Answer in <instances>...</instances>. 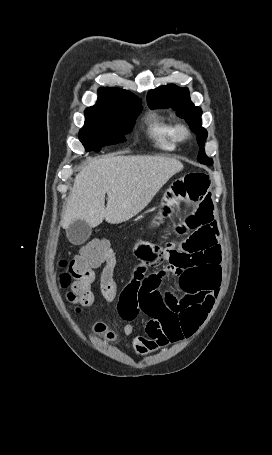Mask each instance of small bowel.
Here are the masks:
<instances>
[{
    "instance_id": "small-bowel-1",
    "label": "small bowel",
    "mask_w": 272,
    "mask_h": 455,
    "mask_svg": "<svg viewBox=\"0 0 272 455\" xmlns=\"http://www.w3.org/2000/svg\"><path fill=\"white\" fill-rule=\"evenodd\" d=\"M210 186L211 180L203 172H189L175 179L166 193L162 212L168 216L176 203H188L190 211L175 227L179 234L189 232L188 237L179 245L144 241L137 245L140 264L116 300L118 313L126 322L125 336L134 332L139 314L149 317L146 335L133 340L134 350L141 356L191 337L215 302L221 282L222 250L209 201ZM167 274L176 277L181 298L162 290Z\"/></svg>"
}]
</instances>
